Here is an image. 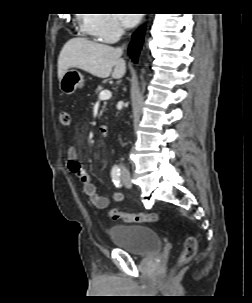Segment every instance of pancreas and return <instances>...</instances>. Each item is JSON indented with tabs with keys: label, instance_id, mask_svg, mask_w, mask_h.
<instances>
[{
	"label": "pancreas",
	"instance_id": "1",
	"mask_svg": "<svg viewBox=\"0 0 252 303\" xmlns=\"http://www.w3.org/2000/svg\"><path fill=\"white\" fill-rule=\"evenodd\" d=\"M103 90V86H101V85H98V87H97V89H96V94H100V92ZM104 109H102V111H103ZM101 111V112H102Z\"/></svg>",
	"mask_w": 252,
	"mask_h": 303
}]
</instances>
